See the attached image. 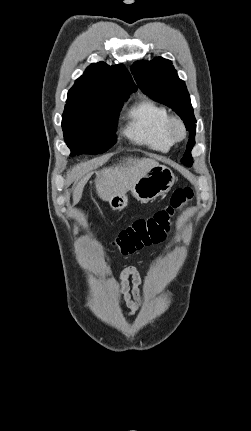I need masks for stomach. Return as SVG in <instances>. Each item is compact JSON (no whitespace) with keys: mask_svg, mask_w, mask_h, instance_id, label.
<instances>
[{"mask_svg":"<svg viewBox=\"0 0 251 431\" xmlns=\"http://www.w3.org/2000/svg\"><path fill=\"white\" fill-rule=\"evenodd\" d=\"M175 179L170 168L157 164L135 183L131 192L138 201L147 203L168 192ZM108 202L113 210L120 211L127 206L128 198L126 194H121L111 197Z\"/></svg>","mask_w":251,"mask_h":431,"instance_id":"obj_1","label":"stomach"}]
</instances>
